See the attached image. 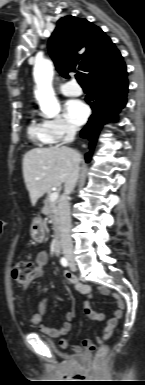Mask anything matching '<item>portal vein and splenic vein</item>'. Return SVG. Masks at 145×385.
<instances>
[{
    "mask_svg": "<svg viewBox=\"0 0 145 385\" xmlns=\"http://www.w3.org/2000/svg\"><path fill=\"white\" fill-rule=\"evenodd\" d=\"M39 179V178H37ZM59 193L57 191L50 194L49 199L51 202H54L58 199Z\"/></svg>",
    "mask_w": 145,
    "mask_h": 385,
    "instance_id": "18ae733b",
    "label": "portal vein and splenic vein"
}]
</instances>
